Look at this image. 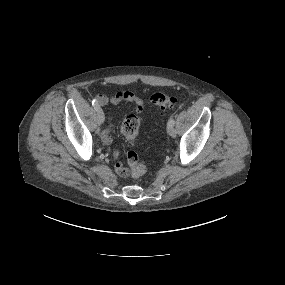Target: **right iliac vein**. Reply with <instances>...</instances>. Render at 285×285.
Masks as SVG:
<instances>
[{
    "label": "right iliac vein",
    "instance_id": "63e3f726",
    "mask_svg": "<svg viewBox=\"0 0 285 285\" xmlns=\"http://www.w3.org/2000/svg\"><path fill=\"white\" fill-rule=\"evenodd\" d=\"M96 111H97L96 117H97L98 124H102L104 122V114L100 108Z\"/></svg>",
    "mask_w": 285,
    "mask_h": 285
}]
</instances>
